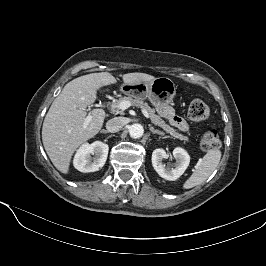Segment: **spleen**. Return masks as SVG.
<instances>
[{
    "instance_id": "spleen-1",
    "label": "spleen",
    "mask_w": 266,
    "mask_h": 266,
    "mask_svg": "<svg viewBox=\"0 0 266 266\" xmlns=\"http://www.w3.org/2000/svg\"><path fill=\"white\" fill-rule=\"evenodd\" d=\"M221 159V151L213 148L197 162L192 175L183 184L184 189H190L203 183L217 168Z\"/></svg>"
}]
</instances>
